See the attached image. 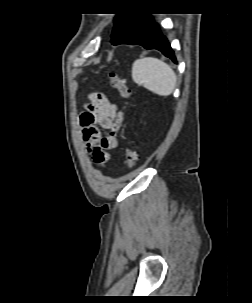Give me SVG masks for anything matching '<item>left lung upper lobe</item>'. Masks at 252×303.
<instances>
[{"mask_svg":"<svg viewBox=\"0 0 252 303\" xmlns=\"http://www.w3.org/2000/svg\"><path fill=\"white\" fill-rule=\"evenodd\" d=\"M145 16L146 14H118L114 19L111 43L116 45L129 34Z\"/></svg>","mask_w":252,"mask_h":303,"instance_id":"obj_1","label":"left lung upper lobe"}]
</instances>
